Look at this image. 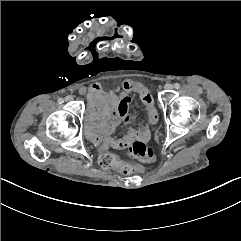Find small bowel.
<instances>
[{"label":"small bowel","mask_w":241,"mask_h":241,"mask_svg":"<svg viewBox=\"0 0 241 241\" xmlns=\"http://www.w3.org/2000/svg\"><path fill=\"white\" fill-rule=\"evenodd\" d=\"M132 91L139 93L147 120L137 128L129 127L122 136H115L120 125L128 126L136 118V115L129 111ZM87 100L92 119L88 137L100 148L125 150L135 142L149 141L150 126L157 122L158 113L153 96L143 85L128 80L123 84V91L116 94L113 91H103L98 84H93L88 88Z\"/></svg>","instance_id":"1"}]
</instances>
